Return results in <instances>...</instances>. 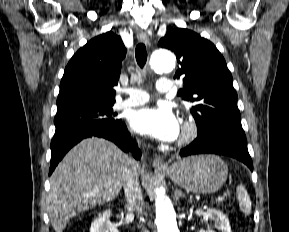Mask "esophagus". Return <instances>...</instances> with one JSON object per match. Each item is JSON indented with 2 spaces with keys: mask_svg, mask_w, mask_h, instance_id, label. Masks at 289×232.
Returning a JSON list of instances; mask_svg holds the SVG:
<instances>
[{
  "mask_svg": "<svg viewBox=\"0 0 289 232\" xmlns=\"http://www.w3.org/2000/svg\"><path fill=\"white\" fill-rule=\"evenodd\" d=\"M137 38L139 40V42L144 43V44H148L149 43V39L148 36L146 35V33L142 30H140L137 34ZM153 165L156 169H166V164L162 158V156L160 155H156L154 160H153Z\"/></svg>",
  "mask_w": 289,
  "mask_h": 232,
  "instance_id": "34e87169",
  "label": "esophagus"
}]
</instances>
